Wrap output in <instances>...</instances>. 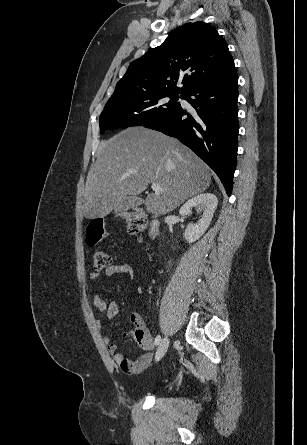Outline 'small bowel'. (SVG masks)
I'll return each instance as SVG.
<instances>
[{
    "mask_svg": "<svg viewBox=\"0 0 307 445\" xmlns=\"http://www.w3.org/2000/svg\"><path fill=\"white\" fill-rule=\"evenodd\" d=\"M105 275L107 277L123 275L129 279H132L134 277V270L129 262H123L117 265H110L108 268H106ZM90 278L93 281H97L101 278V273L99 271H93L90 274ZM93 303L97 308L99 314L108 319L115 318L119 312L118 305L115 302V300L103 299L97 293L93 295ZM103 342L106 345L108 353L112 356L113 361L116 364H118L125 373L139 374L149 365V363L152 360L153 354L151 352L144 353L134 361L129 360L123 354L118 352L117 345L111 342L110 337L104 336ZM141 347L144 350L151 351L153 349L152 339L151 343L148 346H141Z\"/></svg>",
    "mask_w": 307,
    "mask_h": 445,
    "instance_id": "1",
    "label": "small bowel"
}]
</instances>
